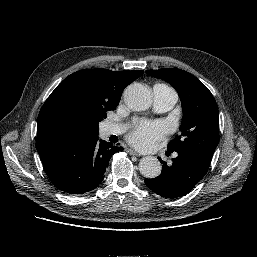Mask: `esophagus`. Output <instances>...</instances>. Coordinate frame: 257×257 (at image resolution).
<instances>
[{
    "label": "esophagus",
    "mask_w": 257,
    "mask_h": 257,
    "mask_svg": "<svg viewBox=\"0 0 257 257\" xmlns=\"http://www.w3.org/2000/svg\"><path fill=\"white\" fill-rule=\"evenodd\" d=\"M127 152L130 154V155H133V156H141L140 153L136 152L135 150L131 149V148H128L127 149Z\"/></svg>",
    "instance_id": "esophagus-1"
}]
</instances>
